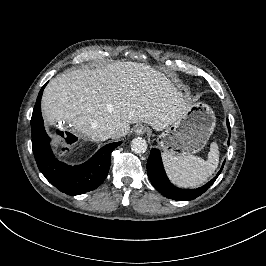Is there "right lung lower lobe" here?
I'll return each instance as SVG.
<instances>
[{
    "label": "right lung lower lobe",
    "mask_w": 266,
    "mask_h": 266,
    "mask_svg": "<svg viewBox=\"0 0 266 266\" xmlns=\"http://www.w3.org/2000/svg\"><path fill=\"white\" fill-rule=\"evenodd\" d=\"M46 84L39 92L31 118L32 146L38 168L52 185L68 195L92 191L107 177L111 152L122 142L105 145L81 165L69 166L57 160L51 151L41 115V97Z\"/></svg>",
    "instance_id": "98d812e1"
}]
</instances>
